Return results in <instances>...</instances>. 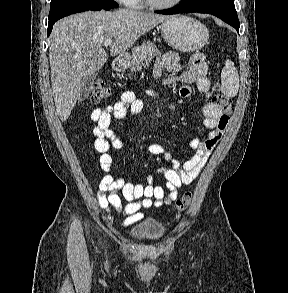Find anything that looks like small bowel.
<instances>
[{
	"label": "small bowel",
	"mask_w": 288,
	"mask_h": 293,
	"mask_svg": "<svg viewBox=\"0 0 288 293\" xmlns=\"http://www.w3.org/2000/svg\"><path fill=\"white\" fill-rule=\"evenodd\" d=\"M183 68L184 65L181 63L179 55L176 52H167L157 59L153 75L160 78L163 69L175 74V76L162 79V84L181 83L179 95L182 98L191 96V89L187 84L196 85L197 89L208 100L203 108V114L205 117L204 126L209 129V132L203 140L192 138L189 141L190 147L195 153L183 164L173 158L163 145L158 143L148 145V152L169 166L158 170L164 177L168 194L165 193L163 187L154 185L152 175H148L146 184H135L127 182L123 178L115 179L109 173L112 167V156L109 150L111 148L116 150L124 148V143L115 134L112 124L128 115L139 114L144 108L143 100L137 98L134 92L125 91L114 104L98 107L92 111L91 118L96 122L93 129L94 148L100 153L102 170L107 173L98 184V203L106 212H109L110 207H113L124 215L125 219L122 223L124 226H130L142 220L144 218L142 209L158 208L175 200L178 188L192 183L199 176L227 129L229 117L218 106L211 93V83L206 76L207 65L204 55L202 53L193 54L187 63V68L185 70ZM147 94L153 95V91L148 90ZM119 193L128 201L126 205H123Z\"/></svg>",
	"instance_id": "1"
}]
</instances>
